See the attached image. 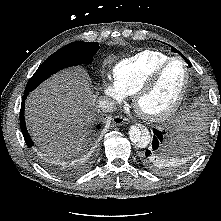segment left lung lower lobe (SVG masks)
Wrapping results in <instances>:
<instances>
[{
	"instance_id": "left-lung-lower-lobe-1",
	"label": "left lung lower lobe",
	"mask_w": 221,
	"mask_h": 221,
	"mask_svg": "<svg viewBox=\"0 0 221 221\" xmlns=\"http://www.w3.org/2000/svg\"><path fill=\"white\" fill-rule=\"evenodd\" d=\"M154 136L152 147L147 149L142 156V161L144 165H146L151 170L163 171L167 167L166 161L162 159V155L164 153L163 146V136L164 132H161L157 129H153Z\"/></svg>"
}]
</instances>
